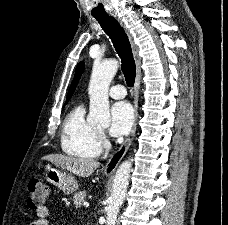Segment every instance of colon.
<instances>
[{"label":"colon","instance_id":"5ec220e1","mask_svg":"<svg viewBox=\"0 0 228 225\" xmlns=\"http://www.w3.org/2000/svg\"><path fill=\"white\" fill-rule=\"evenodd\" d=\"M48 186L39 179H32L27 185V201L30 208L37 210L44 206L45 201L49 200Z\"/></svg>","mask_w":228,"mask_h":225}]
</instances>
